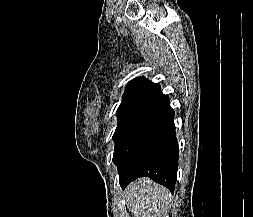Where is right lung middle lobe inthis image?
I'll return each mask as SVG.
<instances>
[{"mask_svg": "<svg viewBox=\"0 0 253 217\" xmlns=\"http://www.w3.org/2000/svg\"><path fill=\"white\" fill-rule=\"evenodd\" d=\"M151 105L149 102H127L120 104L117 110L118 125L113 135L115 150L129 128Z\"/></svg>", "mask_w": 253, "mask_h": 217, "instance_id": "dd1d6c3e", "label": "right lung middle lobe"}]
</instances>
